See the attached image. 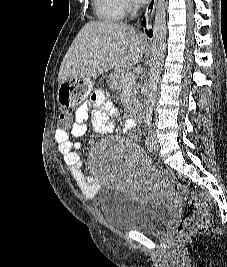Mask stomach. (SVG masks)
I'll return each mask as SVG.
<instances>
[{
    "label": "stomach",
    "mask_w": 227,
    "mask_h": 267,
    "mask_svg": "<svg viewBox=\"0 0 227 267\" xmlns=\"http://www.w3.org/2000/svg\"><path fill=\"white\" fill-rule=\"evenodd\" d=\"M93 83L88 77H65L62 87H59L56 101H59L61 107H78L90 96Z\"/></svg>",
    "instance_id": "stomach-1"
}]
</instances>
